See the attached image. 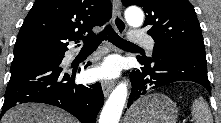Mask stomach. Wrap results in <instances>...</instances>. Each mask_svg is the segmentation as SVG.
Here are the masks:
<instances>
[{"instance_id": "obj_1", "label": "stomach", "mask_w": 221, "mask_h": 123, "mask_svg": "<svg viewBox=\"0 0 221 123\" xmlns=\"http://www.w3.org/2000/svg\"><path fill=\"white\" fill-rule=\"evenodd\" d=\"M176 103L163 94L141 97L129 108L124 123H176Z\"/></svg>"}]
</instances>
